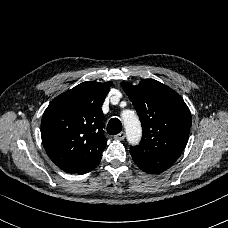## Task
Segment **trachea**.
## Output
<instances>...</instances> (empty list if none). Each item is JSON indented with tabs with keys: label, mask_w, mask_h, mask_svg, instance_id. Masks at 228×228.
Wrapping results in <instances>:
<instances>
[{
	"label": "trachea",
	"mask_w": 228,
	"mask_h": 228,
	"mask_svg": "<svg viewBox=\"0 0 228 228\" xmlns=\"http://www.w3.org/2000/svg\"><path fill=\"white\" fill-rule=\"evenodd\" d=\"M122 130V123L118 118H112L107 124V132L110 135H116Z\"/></svg>",
	"instance_id": "3493384b"
}]
</instances>
